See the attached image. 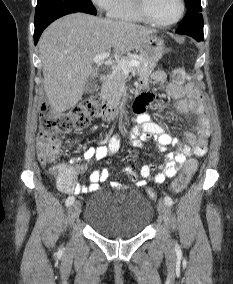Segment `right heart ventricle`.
<instances>
[{"label":"right heart ventricle","instance_id":"obj_1","mask_svg":"<svg viewBox=\"0 0 233 284\" xmlns=\"http://www.w3.org/2000/svg\"><path fill=\"white\" fill-rule=\"evenodd\" d=\"M107 11L108 16L115 20L134 23L147 22L139 13L136 0H112Z\"/></svg>","mask_w":233,"mask_h":284}]
</instances>
